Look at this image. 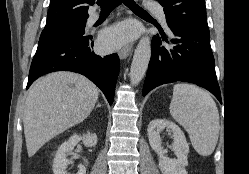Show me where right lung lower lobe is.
<instances>
[{"label":"right lung lower lobe","mask_w":249,"mask_h":174,"mask_svg":"<svg viewBox=\"0 0 249 174\" xmlns=\"http://www.w3.org/2000/svg\"><path fill=\"white\" fill-rule=\"evenodd\" d=\"M92 46L91 37L85 35L64 36L38 46L30 67L26 89L44 74L72 71L94 82L112 104L119 73V57L117 54L98 56L92 51Z\"/></svg>","instance_id":"1"}]
</instances>
